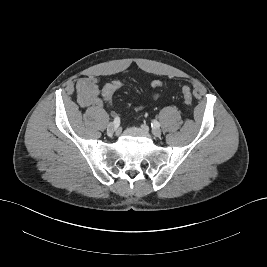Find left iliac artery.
Returning a JSON list of instances; mask_svg holds the SVG:
<instances>
[{"label": "left iliac artery", "instance_id": "obj_1", "mask_svg": "<svg viewBox=\"0 0 267 267\" xmlns=\"http://www.w3.org/2000/svg\"><path fill=\"white\" fill-rule=\"evenodd\" d=\"M152 126L155 127V128H159L160 127V123L156 120H153L152 121Z\"/></svg>", "mask_w": 267, "mask_h": 267}]
</instances>
